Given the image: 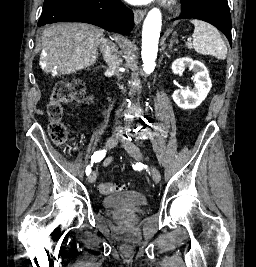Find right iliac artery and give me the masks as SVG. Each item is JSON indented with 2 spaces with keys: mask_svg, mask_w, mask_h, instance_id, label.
Returning <instances> with one entry per match:
<instances>
[{
  "mask_svg": "<svg viewBox=\"0 0 256 267\" xmlns=\"http://www.w3.org/2000/svg\"><path fill=\"white\" fill-rule=\"evenodd\" d=\"M106 154V150L96 151L91 157V166L94 162H100ZM91 166L88 165L86 167V175H89L91 173Z\"/></svg>",
  "mask_w": 256,
  "mask_h": 267,
  "instance_id": "obj_1",
  "label": "right iliac artery"
}]
</instances>
